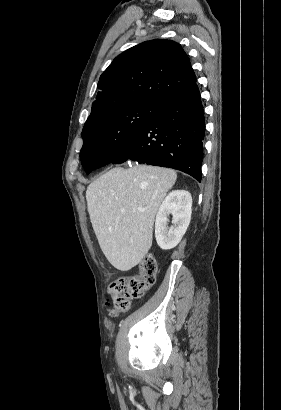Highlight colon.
I'll return each mask as SVG.
<instances>
[{
    "mask_svg": "<svg viewBox=\"0 0 281 410\" xmlns=\"http://www.w3.org/2000/svg\"><path fill=\"white\" fill-rule=\"evenodd\" d=\"M157 262L152 254H146L140 263V272L137 275H123L115 279L109 293L115 310L127 311L133 299H140L156 281Z\"/></svg>",
    "mask_w": 281,
    "mask_h": 410,
    "instance_id": "5ec220e1",
    "label": "colon"
}]
</instances>
